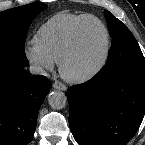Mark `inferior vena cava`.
Here are the masks:
<instances>
[{
    "mask_svg": "<svg viewBox=\"0 0 145 145\" xmlns=\"http://www.w3.org/2000/svg\"><path fill=\"white\" fill-rule=\"evenodd\" d=\"M29 69L32 74L45 75V70L39 65H31Z\"/></svg>",
    "mask_w": 145,
    "mask_h": 145,
    "instance_id": "inferior-vena-cava-1",
    "label": "inferior vena cava"
}]
</instances>
